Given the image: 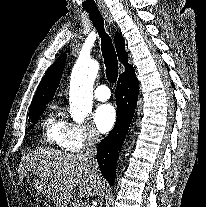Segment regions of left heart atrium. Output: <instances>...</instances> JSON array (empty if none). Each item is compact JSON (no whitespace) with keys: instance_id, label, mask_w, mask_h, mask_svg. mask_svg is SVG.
Returning a JSON list of instances; mask_svg holds the SVG:
<instances>
[{"instance_id":"left-heart-atrium-1","label":"left heart atrium","mask_w":206,"mask_h":207,"mask_svg":"<svg viewBox=\"0 0 206 207\" xmlns=\"http://www.w3.org/2000/svg\"><path fill=\"white\" fill-rule=\"evenodd\" d=\"M116 122V111L111 104L100 105L94 113V123L101 133L110 131Z\"/></svg>"}]
</instances>
